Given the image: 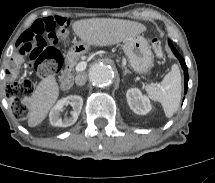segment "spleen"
<instances>
[{"label": "spleen", "mask_w": 215, "mask_h": 183, "mask_svg": "<svg viewBox=\"0 0 215 183\" xmlns=\"http://www.w3.org/2000/svg\"><path fill=\"white\" fill-rule=\"evenodd\" d=\"M147 94L163 106L166 117H171L177 111L181 100V74L178 65L174 64L171 71L159 85H147Z\"/></svg>", "instance_id": "3e777b00"}]
</instances>
